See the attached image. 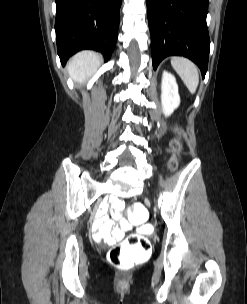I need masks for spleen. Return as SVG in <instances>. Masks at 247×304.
<instances>
[{
	"label": "spleen",
	"mask_w": 247,
	"mask_h": 304,
	"mask_svg": "<svg viewBox=\"0 0 247 304\" xmlns=\"http://www.w3.org/2000/svg\"><path fill=\"white\" fill-rule=\"evenodd\" d=\"M171 65L190 93L194 94L199 84V74L196 65L189 59L179 56L171 58Z\"/></svg>",
	"instance_id": "1"
}]
</instances>
